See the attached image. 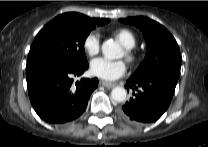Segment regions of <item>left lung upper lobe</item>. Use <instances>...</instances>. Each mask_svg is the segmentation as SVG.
Wrapping results in <instances>:
<instances>
[{
	"label": "left lung upper lobe",
	"mask_w": 208,
	"mask_h": 147,
	"mask_svg": "<svg viewBox=\"0 0 208 147\" xmlns=\"http://www.w3.org/2000/svg\"><path fill=\"white\" fill-rule=\"evenodd\" d=\"M120 21L138 27L147 44L145 58L133 74V78L154 72H168L179 78L182 57L176 40L165 27L143 16Z\"/></svg>",
	"instance_id": "left-lung-upper-lobe-1"
}]
</instances>
